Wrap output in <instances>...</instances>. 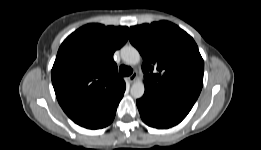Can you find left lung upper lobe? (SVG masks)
<instances>
[{
  "mask_svg": "<svg viewBox=\"0 0 261 150\" xmlns=\"http://www.w3.org/2000/svg\"><path fill=\"white\" fill-rule=\"evenodd\" d=\"M129 40L143 57L145 91L195 103L203 86L204 61L190 35L160 21L130 27Z\"/></svg>",
  "mask_w": 261,
  "mask_h": 150,
  "instance_id": "1",
  "label": "left lung upper lobe"
}]
</instances>
